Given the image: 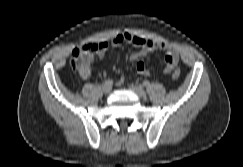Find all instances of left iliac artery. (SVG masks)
<instances>
[{"label": "left iliac artery", "instance_id": "1", "mask_svg": "<svg viewBox=\"0 0 243 167\" xmlns=\"http://www.w3.org/2000/svg\"><path fill=\"white\" fill-rule=\"evenodd\" d=\"M149 84H150V83H149L148 80L143 81V85H144V86H149Z\"/></svg>", "mask_w": 243, "mask_h": 167}]
</instances>
